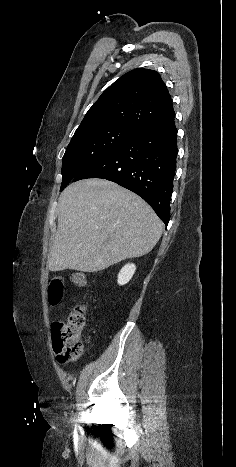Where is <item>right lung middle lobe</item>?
<instances>
[{"mask_svg": "<svg viewBox=\"0 0 236 467\" xmlns=\"http://www.w3.org/2000/svg\"><path fill=\"white\" fill-rule=\"evenodd\" d=\"M136 132L122 125H105L75 133L63 156L60 190Z\"/></svg>", "mask_w": 236, "mask_h": 467, "instance_id": "dd1d6c3e", "label": "right lung middle lobe"}]
</instances>
